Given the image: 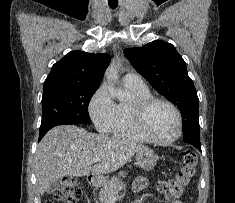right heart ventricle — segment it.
<instances>
[{"label": "right heart ventricle", "instance_id": "right-heart-ventricle-1", "mask_svg": "<svg viewBox=\"0 0 235 203\" xmlns=\"http://www.w3.org/2000/svg\"><path fill=\"white\" fill-rule=\"evenodd\" d=\"M134 96V101L152 96L149 89L137 88L125 85ZM133 102H120L116 104V114L109 132L116 138L131 139L136 141H147L136 129L132 113L131 105Z\"/></svg>", "mask_w": 235, "mask_h": 203}]
</instances>
